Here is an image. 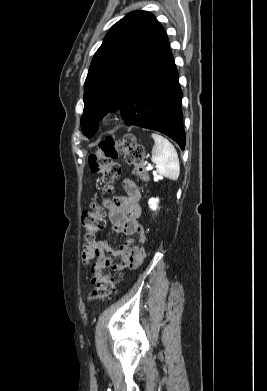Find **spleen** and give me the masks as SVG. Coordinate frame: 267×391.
Here are the masks:
<instances>
[{
    "instance_id": "spleen-1",
    "label": "spleen",
    "mask_w": 267,
    "mask_h": 391,
    "mask_svg": "<svg viewBox=\"0 0 267 391\" xmlns=\"http://www.w3.org/2000/svg\"><path fill=\"white\" fill-rule=\"evenodd\" d=\"M155 145L151 160L156 164L157 172L170 180H177L180 174L178 154L174 146L163 136L152 133Z\"/></svg>"
}]
</instances>
